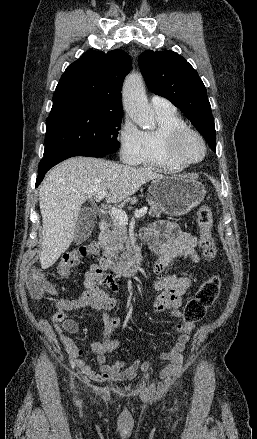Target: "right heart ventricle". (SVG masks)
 Listing matches in <instances>:
<instances>
[{"label":"right heart ventricle","mask_w":257,"mask_h":439,"mask_svg":"<svg viewBox=\"0 0 257 439\" xmlns=\"http://www.w3.org/2000/svg\"><path fill=\"white\" fill-rule=\"evenodd\" d=\"M156 115L157 127L142 132V149L133 164L157 168L168 173L180 172L183 167L169 157L166 139L172 131L186 127V122L175 110L156 111Z\"/></svg>","instance_id":"obj_1"}]
</instances>
